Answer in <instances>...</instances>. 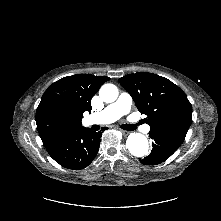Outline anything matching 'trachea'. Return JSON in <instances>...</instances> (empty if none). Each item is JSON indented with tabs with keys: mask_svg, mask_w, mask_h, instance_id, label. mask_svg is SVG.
Listing matches in <instances>:
<instances>
[{
	"mask_svg": "<svg viewBox=\"0 0 221 221\" xmlns=\"http://www.w3.org/2000/svg\"><path fill=\"white\" fill-rule=\"evenodd\" d=\"M120 127H121L122 129H124V130L130 131V130H135L136 127H137V125H135V124H123V125H121Z\"/></svg>",
	"mask_w": 221,
	"mask_h": 221,
	"instance_id": "1",
	"label": "trachea"
}]
</instances>
